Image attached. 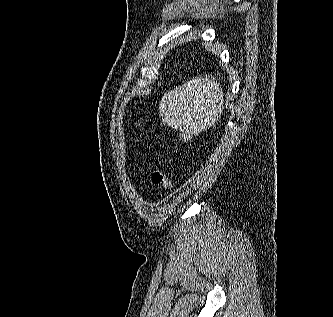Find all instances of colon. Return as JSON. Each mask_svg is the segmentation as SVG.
I'll return each instance as SVG.
<instances>
[{
  "label": "colon",
  "instance_id": "1",
  "mask_svg": "<svg viewBox=\"0 0 333 317\" xmlns=\"http://www.w3.org/2000/svg\"><path fill=\"white\" fill-rule=\"evenodd\" d=\"M193 136V133L189 129L181 130L178 136L180 142H188ZM151 181L160 186L164 191H170L172 189V180L168 174L162 168H155L151 172Z\"/></svg>",
  "mask_w": 333,
  "mask_h": 317
}]
</instances>
